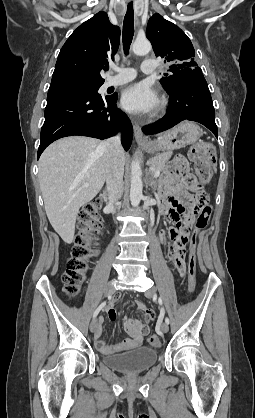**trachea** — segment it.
I'll return each instance as SVG.
<instances>
[{
	"label": "trachea",
	"instance_id": "trachea-1",
	"mask_svg": "<svg viewBox=\"0 0 255 418\" xmlns=\"http://www.w3.org/2000/svg\"><path fill=\"white\" fill-rule=\"evenodd\" d=\"M133 35H134V11H133V2H130L127 6V12H126V15L124 17V22H123V49L126 55H128L129 53Z\"/></svg>",
	"mask_w": 255,
	"mask_h": 418
}]
</instances>
